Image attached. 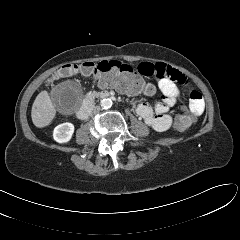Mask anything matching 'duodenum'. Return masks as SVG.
<instances>
[{
  "instance_id": "obj_1",
  "label": "duodenum",
  "mask_w": 240,
  "mask_h": 240,
  "mask_svg": "<svg viewBox=\"0 0 240 240\" xmlns=\"http://www.w3.org/2000/svg\"><path fill=\"white\" fill-rule=\"evenodd\" d=\"M110 97H111V95L107 91H102L95 95L87 97L85 99L83 105L81 106V108L77 111V117L81 120L87 118V116L89 115L90 110L93 106L94 98L106 99V98H110Z\"/></svg>"
}]
</instances>
